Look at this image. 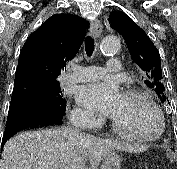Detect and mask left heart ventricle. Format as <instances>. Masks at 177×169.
<instances>
[{
  "label": "left heart ventricle",
  "mask_w": 177,
  "mask_h": 169,
  "mask_svg": "<svg viewBox=\"0 0 177 169\" xmlns=\"http://www.w3.org/2000/svg\"><path fill=\"white\" fill-rule=\"evenodd\" d=\"M111 117L134 134H153L160 127L155 110L145 99L137 96L122 95Z\"/></svg>",
  "instance_id": "1"
}]
</instances>
